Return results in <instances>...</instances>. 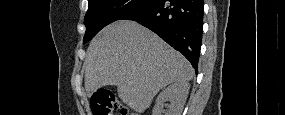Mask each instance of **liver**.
I'll return each mask as SVG.
<instances>
[{
	"label": "liver",
	"mask_w": 285,
	"mask_h": 115,
	"mask_svg": "<svg viewBox=\"0 0 285 115\" xmlns=\"http://www.w3.org/2000/svg\"><path fill=\"white\" fill-rule=\"evenodd\" d=\"M84 69L89 97L103 86L115 85L119 98L139 113L162 88L194 75L186 58L130 20L109 24L91 41Z\"/></svg>",
	"instance_id": "obj_1"
}]
</instances>
